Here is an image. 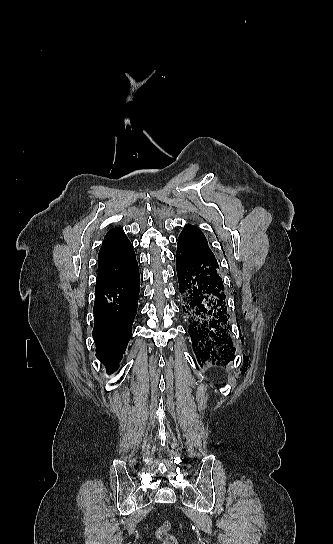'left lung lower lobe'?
<instances>
[{
    "label": "left lung lower lobe",
    "instance_id": "left-lung-lower-lobe-1",
    "mask_svg": "<svg viewBox=\"0 0 333 544\" xmlns=\"http://www.w3.org/2000/svg\"><path fill=\"white\" fill-rule=\"evenodd\" d=\"M176 268L182 308L199 364L234 360L236 348L229 335L230 316L219 268L184 248H177Z\"/></svg>",
    "mask_w": 333,
    "mask_h": 544
}]
</instances>
